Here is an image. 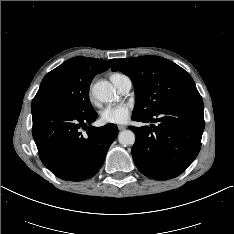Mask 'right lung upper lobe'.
<instances>
[{
	"instance_id": "cb5924a9",
	"label": "right lung upper lobe",
	"mask_w": 234,
	"mask_h": 234,
	"mask_svg": "<svg viewBox=\"0 0 234 234\" xmlns=\"http://www.w3.org/2000/svg\"><path fill=\"white\" fill-rule=\"evenodd\" d=\"M114 59L104 61L97 58L74 57L66 61L81 75L94 78L96 74L101 73L110 68Z\"/></svg>"
}]
</instances>
